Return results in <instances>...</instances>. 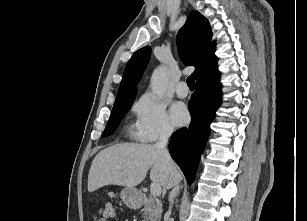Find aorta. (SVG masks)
<instances>
[{"instance_id":"1","label":"aorta","mask_w":307,"mask_h":221,"mask_svg":"<svg viewBox=\"0 0 307 221\" xmlns=\"http://www.w3.org/2000/svg\"><path fill=\"white\" fill-rule=\"evenodd\" d=\"M150 86L155 96L164 97L168 88V76L164 66H159L153 71Z\"/></svg>"}]
</instances>
